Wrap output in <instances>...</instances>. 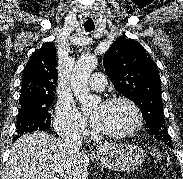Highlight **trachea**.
Returning <instances> with one entry per match:
<instances>
[{"instance_id":"trachea-1","label":"trachea","mask_w":183,"mask_h":179,"mask_svg":"<svg viewBox=\"0 0 183 179\" xmlns=\"http://www.w3.org/2000/svg\"><path fill=\"white\" fill-rule=\"evenodd\" d=\"M84 28L86 30V32H91L92 30L95 29V25L92 19H88L85 23H84Z\"/></svg>"}]
</instances>
